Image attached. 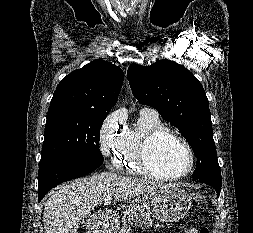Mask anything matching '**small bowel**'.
Listing matches in <instances>:
<instances>
[{
  "label": "small bowel",
  "mask_w": 253,
  "mask_h": 233,
  "mask_svg": "<svg viewBox=\"0 0 253 233\" xmlns=\"http://www.w3.org/2000/svg\"><path fill=\"white\" fill-rule=\"evenodd\" d=\"M186 233H198L195 229H189L186 231Z\"/></svg>",
  "instance_id": "obj_1"
}]
</instances>
